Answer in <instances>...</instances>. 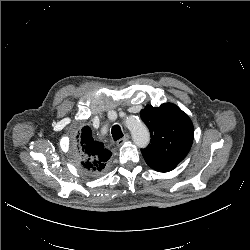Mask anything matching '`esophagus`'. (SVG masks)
Segmentation results:
<instances>
[{"label":"esophagus","mask_w":250,"mask_h":250,"mask_svg":"<svg viewBox=\"0 0 250 250\" xmlns=\"http://www.w3.org/2000/svg\"><path fill=\"white\" fill-rule=\"evenodd\" d=\"M129 138H130L129 134H125L123 138L117 141V146L120 147L121 145H123L124 142L128 141Z\"/></svg>","instance_id":"obj_1"}]
</instances>
